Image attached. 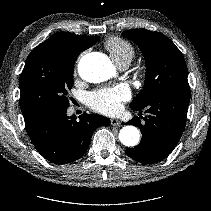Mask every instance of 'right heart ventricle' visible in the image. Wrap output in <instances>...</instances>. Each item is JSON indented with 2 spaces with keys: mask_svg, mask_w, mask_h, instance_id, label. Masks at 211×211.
<instances>
[{
  "mask_svg": "<svg viewBox=\"0 0 211 211\" xmlns=\"http://www.w3.org/2000/svg\"><path fill=\"white\" fill-rule=\"evenodd\" d=\"M112 61L117 66H128L135 57V49L127 40L120 37H110L105 42Z\"/></svg>",
  "mask_w": 211,
  "mask_h": 211,
  "instance_id": "e07e8e85",
  "label": "right heart ventricle"
}]
</instances>
